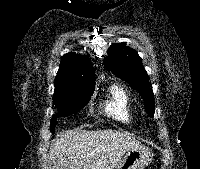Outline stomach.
<instances>
[{"instance_id": "stomach-1", "label": "stomach", "mask_w": 200, "mask_h": 169, "mask_svg": "<svg viewBox=\"0 0 200 169\" xmlns=\"http://www.w3.org/2000/svg\"><path fill=\"white\" fill-rule=\"evenodd\" d=\"M152 157L150 150L144 146L131 148L125 153L116 169H144L151 163Z\"/></svg>"}]
</instances>
